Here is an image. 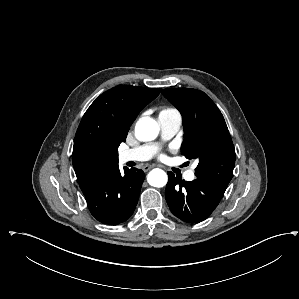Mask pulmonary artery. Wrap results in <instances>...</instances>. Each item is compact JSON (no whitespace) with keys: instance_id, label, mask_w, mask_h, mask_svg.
I'll return each instance as SVG.
<instances>
[{"instance_id":"obj_1","label":"pulmonary artery","mask_w":299,"mask_h":299,"mask_svg":"<svg viewBox=\"0 0 299 299\" xmlns=\"http://www.w3.org/2000/svg\"><path fill=\"white\" fill-rule=\"evenodd\" d=\"M158 122L161 128V136L164 140L172 138L180 129L182 118L179 112L175 110H164L159 113ZM155 144L141 145L132 149H127L119 154L121 163L128 161H146L150 159L156 152ZM184 179L193 181L195 172L190 168L184 172Z\"/></svg>"}]
</instances>
